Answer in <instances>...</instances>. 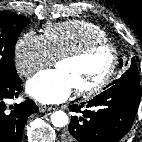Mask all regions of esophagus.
I'll use <instances>...</instances> for the list:
<instances>
[{"instance_id": "34e87169", "label": "esophagus", "mask_w": 142, "mask_h": 142, "mask_svg": "<svg viewBox=\"0 0 142 142\" xmlns=\"http://www.w3.org/2000/svg\"><path fill=\"white\" fill-rule=\"evenodd\" d=\"M54 108L50 107V106H45V105H41L39 106V111L40 112H46V111H51L53 110Z\"/></svg>"}]
</instances>
